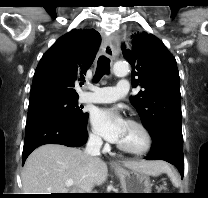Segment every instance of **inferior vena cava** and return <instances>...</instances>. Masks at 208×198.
<instances>
[{"instance_id":"inferior-vena-cava-1","label":"inferior vena cava","mask_w":208,"mask_h":198,"mask_svg":"<svg viewBox=\"0 0 208 198\" xmlns=\"http://www.w3.org/2000/svg\"><path fill=\"white\" fill-rule=\"evenodd\" d=\"M102 143V139L99 136H90L85 148V153L89 157H98L100 155Z\"/></svg>"}]
</instances>
